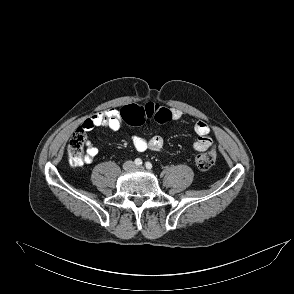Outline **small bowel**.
<instances>
[{"label": "small bowel", "mask_w": 294, "mask_h": 294, "mask_svg": "<svg viewBox=\"0 0 294 294\" xmlns=\"http://www.w3.org/2000/svg\"><path fill=\"white\" fill-rule=\"evenodd\" d=\"M172 120L179 121L183 113L177 108L171 110ZM95 127H104L114 132H119L122 129V120L120 117V110L116 108H110L105 111L93 114L91 117L86 119L82 124L84 131H90ZM194 131L198 135L193 147L198 152L206 150H214V144L209 137L210 128L208 124L202 120L197 121L194 124ZM134 148L139 152L150 150L155 153H161L164 150V140L160 136H153L151 138H145L142 136H133L131 138ZM98 154V148L91 142H87L86 155L84 162L90 164L93 162Z\"/></svg>", "instance_id": "small-bowel-1"}]
</instances>
